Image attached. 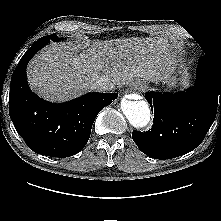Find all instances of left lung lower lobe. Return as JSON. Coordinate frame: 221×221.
Segmentation results:
<instances>
[{
  "label": "left lung lower lobe",
  "mask_w": 221,
  "mask_h": 221,
  "mask_svg": "<svg viewBox=\"0 0 221 221\" xmlns=\"http://www.w3.org/2000/svg\"><path fill=\"white\" fill-rule=\"evenodd\" d=\"M154 124L147 132L133 131L138 148L155 159H171L194 150L203 141L221 103V69L207 57L198 60L196 83L178 93L147 92Z\"/></svg>",
  "instance_id": "obj_1"
}]
</instances>
